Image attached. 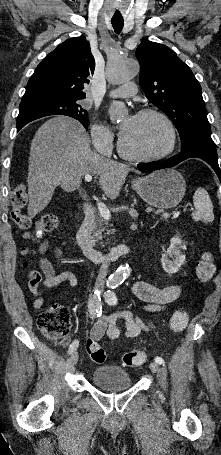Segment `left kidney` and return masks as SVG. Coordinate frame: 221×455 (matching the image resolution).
<instances>
[{"instance_id":"obj_1","label":"left kidney","mask_w":221,"mask_h":455,"mask_svg":"<svg viewBox=\"0 0 221 455\" xmlns=\"http://www.w3.org/2000/svg\"><path fill=\"white\" fill-rule=\"evenodd\" d=\"M180 249L186 250V246L182 244V241L178 237L171 239V246L167 251V254L162 256L161 263L163 270L169 274L176 273L185 261V254L180 252ZM169 256L173 260L167 258Z\"/></svg>"}]
</instances>
